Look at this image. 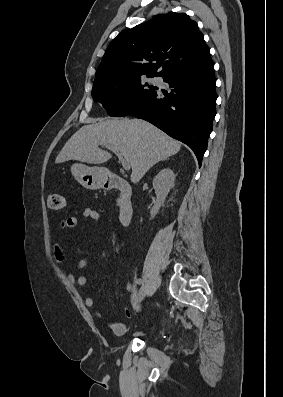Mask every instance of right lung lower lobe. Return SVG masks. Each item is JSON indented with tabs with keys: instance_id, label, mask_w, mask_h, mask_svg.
<instances>
[{
	"instance_id": "98d812e1",
	"label": "right lung lower lobe",
	"mask_w": 283,
	"mask_h": 397,
	"mask_svg": "<svg viewBox=\"0 0 283 397\" xmlns=\"http://www.w3.org/2000/svg\"><path fill=\"white\" fill-rule=\"evenodd\" d=\"M163 80L173 88L171 93L162 97L156 92L129 115L144 119L187 144L201 166L216 115L214 63L210 58L173 71Z\"/></svg>"
}]
</instances>
